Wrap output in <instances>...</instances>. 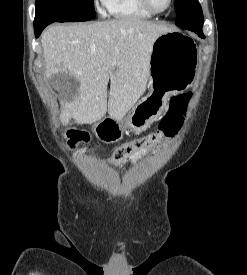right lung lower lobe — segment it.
I'll return each instance as SVG.
<instances>
[{"label":"right lung lower lobe","mask_w":247,"mask_h":275,"mask_svg":"<svg viewBox=\"0 0 247 275\" xmlns=\"http://www.w3.org/2000/svg\"><path fill=\"white\" fill-rule=\"evenodd\" d=\"M52 20H46V22L34 23L35 36L39 37L42 30L49 24L53 23Z\"/></svg>","instance_id":"98d812e1"}]
</instances>
